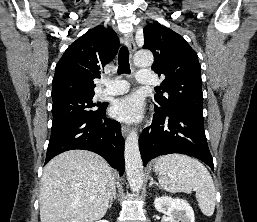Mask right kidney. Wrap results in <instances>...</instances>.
<instances>
[{"label":"right kidney","instance_id":"ca27d5eb","mask_svg":"<svg viewBox=\"0 0 257 222\" xmlns=\"http://www.w3.org/2000/svg\"><path fill=\"white\" fill-rule=\"evenodd\" d=\"M97 222H108L107 220H100V221H97Z\"/></svg>","mask_w":257,"mask_h":222}]
</instances>
